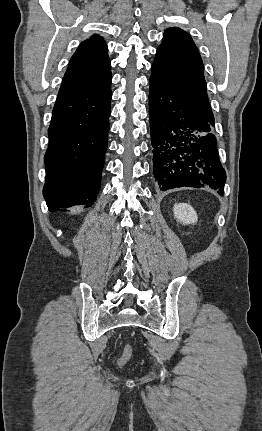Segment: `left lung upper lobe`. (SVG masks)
<instances>
[{
  "label": "left lung upper lobe",
  "instance_id": "5c2ea615",
  "mask_svg": "<svg viewBox=\"0 0 262 431\" xmlns=\"http://www.w3.org/2000/svg\"><path fill=\"white\" fill-rule=\"evenodd\" d=\"M150 80L156 81L214 119L206 93L203 62L191 37L180 28H168L158 47Z\"/></svg>",
  "mask_w": 262,
  "mask_h": 431
}]
</instances>
